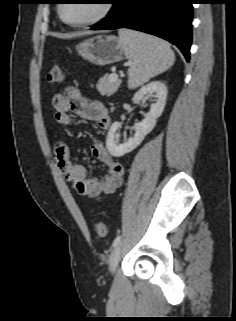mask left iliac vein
I'll use <instances>...</instances> for the list:
<instances>
[{
  "mask_svg": "<svg viewBox=\"0 0 236 321\" xmlns=\"http://www.w3.org/2000/svg\"><path fill=\"white\" fill-rule=\"evenodd\" d=\"M120 255H121V244H118L112 250L110 258H109V269L112 274L116 270V267H117L119 259H120Z\"/></svg>",
  "mask_w": 236,
  "mask_h": 321,
  "instance_id": "4c4485c4",
  "label": "left iliac vein"
}]
</instances>
